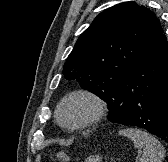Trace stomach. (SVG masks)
Listing matches in <instances>:
<instances>
[{"label":"stomach","mask_w":168,"mask_h":162,"mask_svg":"<svg viewBox=\"0 0 168 162\" xmlns=\"http://www.w3.org/2000/svg\"><path fill=\"white\" fill-rule=\"evenodd\" d=\"M85 162H101V158L97 155L95 156H90L86 159Z\"/></svg>","instance_id":"1"}]
</instances>
